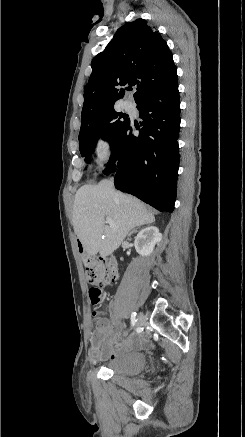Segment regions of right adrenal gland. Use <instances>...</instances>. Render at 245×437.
Masks as SVG:
<instances>
[{"mask_svg": "<svg viewBox=\"0 0 245 437\" xmlns=\"http://www.w3.org/2000/svg\"><path fill=\"white\" fill-rule=\"evenodd\" d=\"M136 230H137V229H134V230H132V231L130 232V234H132V233L136 232Z\"/></svg>", "mask_w": 245, "mask_h": 437, "instance_id": "obj_1", "label": "right adrenal gland"}]
</instances>
